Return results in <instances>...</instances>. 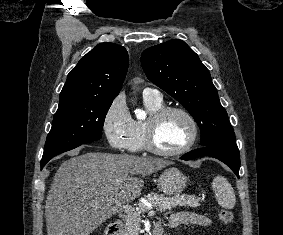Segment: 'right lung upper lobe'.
I'll list each match as a JSON object with an SVG mask.
<instances>
[{"instance_id": "obj_1", "label": "right lung upper lobe", "mask_w": 283, "mask_h": 235, "mask_svg": "<svg viewBox=\"0 0 283 235\" xmlns=\"http://www.w3.org/2000/svg\"><path fill=\"white\" fill-rule=\"evenodd\" d=\"M127 68L128 53L124 47L114 43L98 44L68 74L59 102L113 100L121 90Z\"/></svg>"}]
</instances>
